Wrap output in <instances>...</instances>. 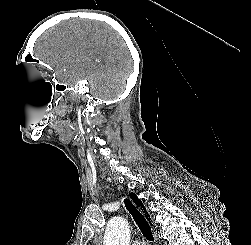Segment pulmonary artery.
<instances>
[{
  "instance_id": "1",
  "label": "pulmonary artery",
  "mask_w": 251,
  "mask_h": 245,
  "mask_svg": "<svg viewBox=\"0 0 251 245\" xmlns=\"http://www.w3.org/2000/svg\"><path fill=\"white\" fill-rule=\"evenodd\" d=\"M132 245H147V243L144 241H134Z\"/></svg>"
}]
</instances>
